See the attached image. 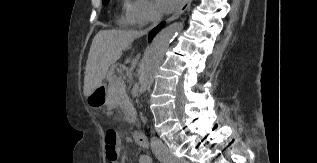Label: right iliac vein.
<instances>
[{
  "label": "right iliac vein",
  "mask_w": 317,
  "mask_h": 163,
  "mask_svg": "<svg viewBox=\"0 0 317 163\" xmlns=\"http://www.w3.org/2000/svg\"><path fill=\"white\" fill-rule=\"evenodd\" d=\"M167 163H179V162L176 160H171V161H168ZM184 163H187V162H184Z\"/></svg>",
  "instance_id": "obj_1"
}]
</instances>
